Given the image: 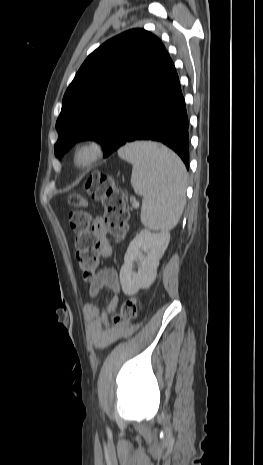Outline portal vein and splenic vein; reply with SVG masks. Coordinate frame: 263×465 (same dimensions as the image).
Returning a JSON list of instances; mask_svg holds the SVG:
<instances>
[{
	"label": "portal vein and splenic vein",
	"mask_w": 263,
	"mask_h": 465,
	"mask_svg": "<svg viewBox=\"0 0 263 465\" xmlns=\"http://www.w3.org/2000/svg\"><path fill=\"white\" fill-rule=\"evenodd\" d=\"M132 206H133L134 208H137V207H139V203L136 202V201H133V202H132Z\"/></svg>",
	"instance_id": "18ae733b"
}]
</instances>
